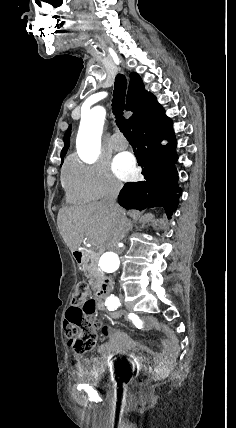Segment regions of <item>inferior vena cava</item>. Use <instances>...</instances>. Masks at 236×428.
<instances>
[{
	"label": "inferior vena cava",
	"mask_w": 236,
	"mask_h": 428,
	"mask_svg": "<svg viewBox=\"0 0 236 428\" xmlns=\"http://www.w3.org/2000/svg\"><path fill=\"white\" fill-rule=\"evenodd\" d=\"M107 182V192H108V196H107V200H106V206L107 208H109V210H111V212H114V214H116L117 217V224H122V216H124L123 212H122V208H120V206H118V204H116V200L118 198V194H119V190L121 188V184L120 182H118V180H115V178H107L106 180ZM113 250H120V252H122V249H113Z\"/></svg>",
	"instance_id": "602c4592"
}]
</instances>
